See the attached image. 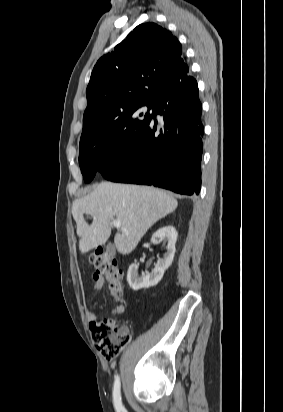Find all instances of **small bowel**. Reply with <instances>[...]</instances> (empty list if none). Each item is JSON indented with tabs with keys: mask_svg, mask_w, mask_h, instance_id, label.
<instances>
[{
	"mask_svg": "<svg viewBox=\"0 0 283 412\" xmlns=\"http://www.w3.org/2000/svg\"><path fill=\"white\" fill-rule=\"evenodd\" d=\"M104 286H105V281L101 278H96L91 288L90 295H94L95 293L100 291ZM124 311H125L124 305L120 304L116 306L115 308H113L111 312L113 314H122ZM86 316H87V321L90 326L97 320V315L95 314V312H93L90 309H87Z\"/></svg>",
	"mask_w": 283,
	"mask_h": 412,
	"instance_id": "small-bowel-1",
	"label": "small bowel"
}]
</instances>
